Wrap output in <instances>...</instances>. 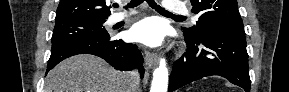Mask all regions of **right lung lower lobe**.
Masks as SVG:
<instances>
[{
    "instance_id": "obj_1",
    "label": "right lung lower lobe",
    "mask_w": 289,
    "mask_h": 92,
    "mask_svg": "<svg viewBox=\"0 0 289 92\" xmlns=\"http://www.w3.org/2000/svg\"><path fill=\"white\" fill-rule=\"evenodd\" d=\"M77 54L96 55L106 60L115 69L121 71L132 70L137 66L141 78H143V56L138 47L125 43L122 40H111L110 38L98 41H81L51 50L46 74L62 60Z\"/></svg>"
}]
</instances>
